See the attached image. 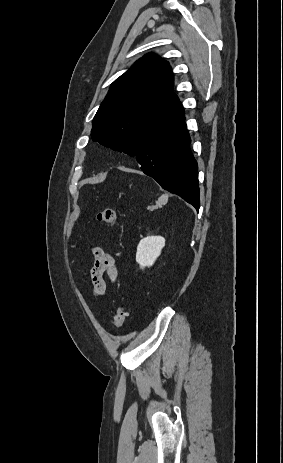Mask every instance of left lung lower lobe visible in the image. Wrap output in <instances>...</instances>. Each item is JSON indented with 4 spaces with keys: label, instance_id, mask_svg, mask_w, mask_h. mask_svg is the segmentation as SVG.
Instances as JSON below:
<instances>
[{
    "label": "left lung lower lobe",
    "instance_id": "obj_1",
    "mask_svg": "<svg viewBox=\"0 0 283 463\" xmlns=\"http://www.w3.org/2000/svg\"><path fill=\"white\" fill-rule=\"evenodd\" d=\"M184 111L156 132L135 156L162 188L199 210L198 165L190 151Z\"/></svg>",
    "mask_w": 283,
    "mask_h": 463
}]
</instances>
